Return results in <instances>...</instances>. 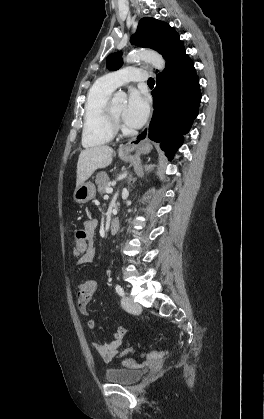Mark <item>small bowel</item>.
Returning a JSON list of instances; mask_svg holds the SVG:
<instances>
[{"label": "small bowel", "instance_id": "obj_1", "mask_svg": "<svg viewBox=\"0 0 264 419\" xmlns=\"http://www.w3.org/2000/svg\"><path fill=\"white\" fill-rule=\"evenodd\" d=\"M97 220L88 219L84 222V229L88 234V237L91 241L89 248L81 258L77 260V264H86L93 261L95 256L94 249V238L97 230ZM77 305L80 313L84 316H88V303L91 300L95 290L96 283L93 280H86L78 283L77 285ZM95 320L89 319L87 321V328L92 330L95 327ZM127 333V330L124 327H117L112 334V338L107 343H100L97 341L92 342L93 348L101 356L102 360L105 363H110L114 358L119 354L120 348L123 344V339Z\"/></svg>", "mask_w": 264, "mask_h": 419}]
</instances>
